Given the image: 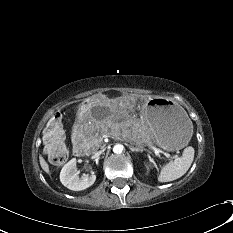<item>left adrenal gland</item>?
Wrapping results in <instances>:
<instances>
[{"mask_svg": "<svg viewBox=\"0 0 233 233\" xmlns=\"http://www.w3.org/2000/svg\"><path fill=\"white\" fill-rule=\"evenodd\" d=\"M129 148L132 152H143L144 150L141 146H136V147L130 146Z\"/></svg>", "mask_w": 233, "mask_h": 233, "instance_id": "1", "label": "left adrenal gland"}]
</instances>
